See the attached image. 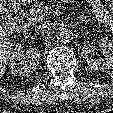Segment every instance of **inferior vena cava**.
Instances as JSON below:
<instances>
[{
  "mask_svg": "<svg viewBox=\"0 0 113 113\" xmlns=\"http://www.w3.org/2000/svg\"><path fill=\"white\" fill-rule=\"evenodd\" d=\"M51 27H52V24L43 23V24H40V25L36 26L35 32L36 33H41V34L48 33L50 31Z\"/></svg>",
  "mask_w": 113,
  "mask_h": 113,
  "instance_id": "inferior-vena-cava-1",
  "label": "inferior vena cava"
}]
</instances>
